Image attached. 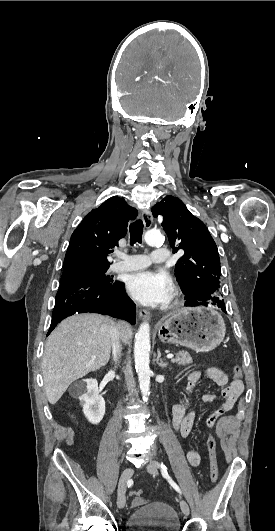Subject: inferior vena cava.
<instances>
[{"label": "inferior vena cava", "mask_w": 275, "mask_h": 531, "mask_svg": "<svg viewBox=\"0 0 275 531\" xmlns=\"http://www.w3.org/2000/svg\"><path fill=\"white\" fill-rule=\"evenodd\" d=\"M111 333V345H112V355L114 357L115 363L120 359L122 355V345H121V335L118 325L111 323L110 327Z\"/></svg>", "instance_id": "obj_1"}]
</instances>
